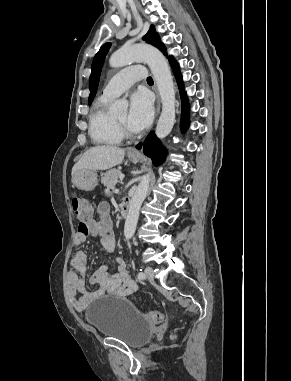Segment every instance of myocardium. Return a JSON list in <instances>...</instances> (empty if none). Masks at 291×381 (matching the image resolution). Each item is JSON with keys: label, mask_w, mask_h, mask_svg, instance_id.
Wrapping results in <instances>:
<instances>
[{"label": "myocardium", "mask_w": 291, "mask_h": 381, "mask_svg": "<svg viewBox=\"0 0 291 381\" xmlns=\"http://www.w3.org/2000/svg\"><path fill=\"white\" fill-rule=\"evenodd\" d=\"M115 125L122 136L131 137L134 136V133L129 130L124 124L114 118Z\"/></svg>", "instance_id": "obj_1"}]
</instances>
